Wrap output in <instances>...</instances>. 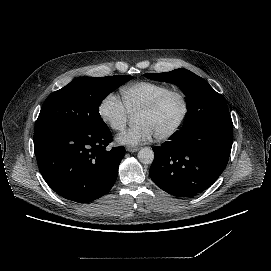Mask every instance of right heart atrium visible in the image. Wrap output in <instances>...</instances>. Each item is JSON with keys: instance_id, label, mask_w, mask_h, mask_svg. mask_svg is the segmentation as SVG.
<instances>
[{"instance_id": "right-heart-atrium-1", "label": "right heart atrium", "mask_w": 271, "mask_h": 271, "mask_svg": "<svg viewBox=\"0 0 271 271\" xmlns=\"http://www.w3.org/2000/svg\"><path fill=\"white\" fill-rule=\"evenodd\" d=\"M97 113L100 120L113 132L124 130L130 116L124 103L113 91L106 93L100 100Z\"/></svg>"}]
</instances>
